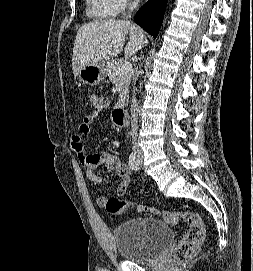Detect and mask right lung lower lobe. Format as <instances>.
Segmentation results:
<instances>
[{
  "label": "right lung lower lobe",
  "mask_w": 253,
  "mask_h": 271,
  "mask_svg": "<svg viewBox=\"0 0 253 271\" xmlns=\"http://www.w3.org/2000/svg\"><path fill=\"white\" fill-rule=\"evenodd\" d=\"M168 0H149L136 14L135 22L154 38L162 25Z\"/></svg>",
  "instance_id": "1"
}]
</instances>
